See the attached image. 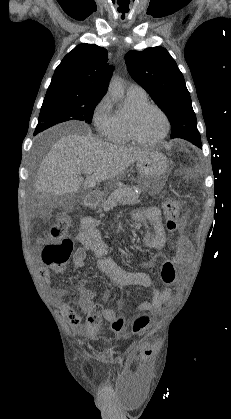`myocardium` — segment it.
<instances>
[{
  "instance_id": "obj_1",
  "label": "myocardium",
  "mask_w": 231,
  "mask_h": 419,
  "mask_svg": "<svg viewBox=\"0 0 231 419\" xmlns=\"http://www.w3.org/2000/svg\"><path fill=\"white\" fill-rule=\"evenodd\" d=\"M148 109L157 110L162 115V117L165 121V130H164L163 134L160 135L158 138L152 139V140L145 139L144 137H142L141 134L139 133L138 127H137L138 118L140 117V115L143 112H145ZM170 128H171V123H170V119H169L167 113L161 107H159L156 104L145 103L143 105H140V106L136 107L130 113V116H129V131H130V134H131L133 140H135L136 142H138L140 144H143V145L158 144L159 142H161L162 140H164L167 137V135L170 132Z\"/></svg>"
}]
</instances>
